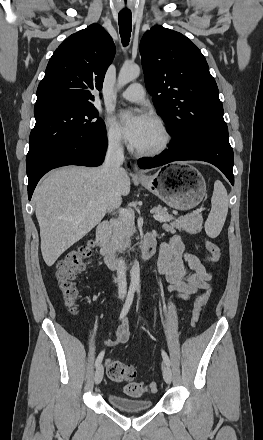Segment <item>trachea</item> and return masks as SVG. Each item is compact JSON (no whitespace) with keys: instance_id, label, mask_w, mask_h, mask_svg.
Segmentation results:
<instances>
[{"instance_id":"obj_1","label":"trachea","mask_w":263,"mask_h":440,"mask_svg":"<svg viewBox=\"0 0 263 440\" xmlns=\"http://www.w3.org/2000/svg\"><path fill=\"white\" fill-rule=\"evenodd\" d=\"M118 24L121 40L124 46H127L131 37L132 14L129 11L120 12L118 15Z\"/></svg>"}]
</instances>
